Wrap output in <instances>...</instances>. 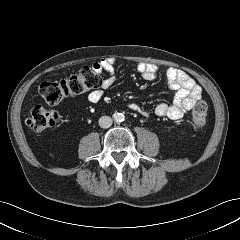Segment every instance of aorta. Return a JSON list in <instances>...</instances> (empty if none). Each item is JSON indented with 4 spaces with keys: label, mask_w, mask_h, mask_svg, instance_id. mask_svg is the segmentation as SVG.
<instances>
[{
    "label": "aorta",
    "mask_w": 240,
    "mask_h": 240,
    "mask_svg": "<svg viewBox=\"0 0 240 240\" xmlns=\"http://www.w3.org/2000/svg\"><path fill=\"white\" fill-rule=\"evenodd\" d=\"M114 120L116 122H122L124 120V116L121 113H116L114 114Z\"/></svg>",
    "instance_id": "aorta-1"
}]
</instances>
